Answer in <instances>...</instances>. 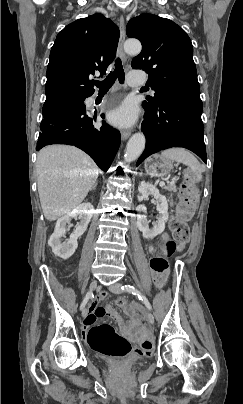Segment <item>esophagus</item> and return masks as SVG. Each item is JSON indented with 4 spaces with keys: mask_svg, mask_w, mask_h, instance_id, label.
<instances>
[{
    "mask_svg": "<svg viewBox=\"0 0 243 404\" xmlns=\"http://www.w3.org/2000/svg\"><path fill=\"white\" fill-rule=\"evenodd\" d=\"M119 31H120V38H119V44H118V52H119V55H120L121 59L123 60V62H126L127 57H126L125 52L123 50V45H124L125 36H126L125 21H124L123 15H121L120 18H119ZM130 135H131L130 130H123L121 132V138L123 140L128 139V137H130Z\"/></svg>",
    "mask_w": 243,
    "mask_h": 404,
    "instance_id": "esophagus-1",
    "label": "esophagus"
}]
</instances>
